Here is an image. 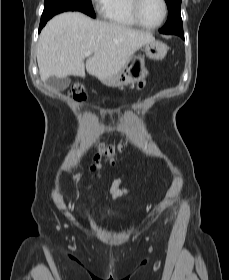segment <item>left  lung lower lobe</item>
Wrapping results in <instances>:
<instances>
[{
  "label": "left lung lower lobe",
  "mask_w": 229,
  "mask_h": 280,
  "mask_svg": "<svg viewBox=\"0 0 229 280\" xmlns=\"http://www.w3.org/2000/svg\"><path fill=\"white\" fill-rule=\"evenodd\" d=\"M177 35H179L181 38L184 39V34H183V32H181V33H179V34H177Z\"/></svg>",
  "instance_id": "1"
}]
</instances>
